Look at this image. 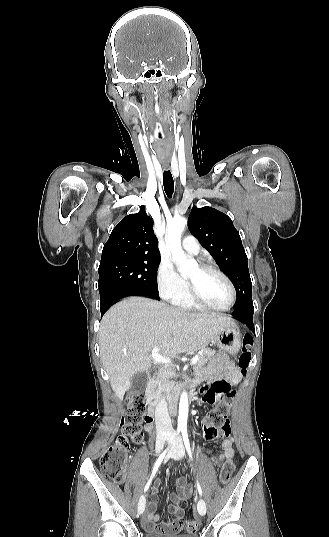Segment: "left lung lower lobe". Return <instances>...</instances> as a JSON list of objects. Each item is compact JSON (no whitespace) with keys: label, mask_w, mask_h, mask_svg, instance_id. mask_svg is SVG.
<instances>
[{"label":"left lung lower lobe","mask_w":329,"mask_h":537,"mask_svg":"<svg viewBox=\"0 0 329 537\" xmlns=\"http://www.w3.org/2000/svg\"><path fill=\"white\" fill-rule=\"evenodd\" d=\"M253 313L254 310L250 311H234L232 315L239 321L246 324L253 332H255L253 324Z\"/></svg>","instance_id":"left-lung-lower-lobe-1"}]
</instances>
